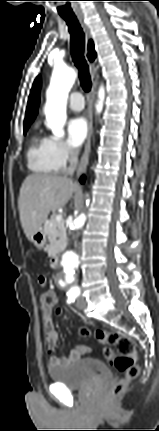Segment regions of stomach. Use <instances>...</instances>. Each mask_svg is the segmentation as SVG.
<instances>
[{
    "mask_svg": "<svg viewBox=\"0 0 159 431\" xmlns=\"http://www.w3.org/2000/svg\"><path fill=\"white\" fill-rule=\"evenodd\" d=\"M31 242L34 244L35 247L42 248L46 242L45 232L43 230H40L35 233L31 239Z\"/></svg>",
    "mask_w": 159,
    "mask_h": 431,
    "instance_id": "stomach-1",
    "label": "stomach"
}]
</instances>
